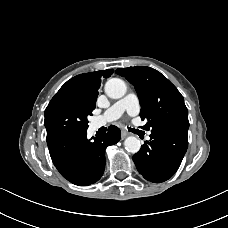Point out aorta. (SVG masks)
<instances>
[{
	"mask_svg": "<svg viewBox=\"0 0 228 228\" xmlns=\"http://www.w3.org/2000/svg\"><path fill=\"white\" fill-rule=\"evenodd\" d=\"M105 93L113 99L122 98L126 93V84L119 78H111L105 84ZM124 146L131 153H137L141 148L139 139L134 136L127 137Z\"/></svg>",
	"mask_w": 228,
	"mask_h": 228,
	"instance_id": "aorta-1",
	"label": "aorta"
}]
</instances>
